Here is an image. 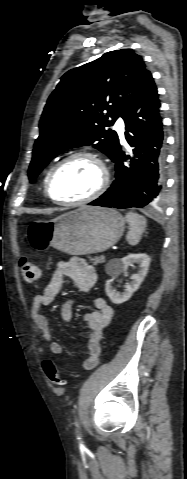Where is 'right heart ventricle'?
Masks as SVG:
<instances>
[{"label": "right heart ventricle", "mask_w": 187, "mask_h": 479, "mask_svg": "<svg viewBox=\"0 0 187 479\" xmlns=\"http://www.w3.org/2000/svg\"><path fill=\"white\" fill-rule=\"evenodd\" d=\"M48 172H49V171H48ZM48 172L45 174V176H44V178H43V187H44V185H45V181H46Z\"/></svg>", "instance_id": "1"}]
</instances>
